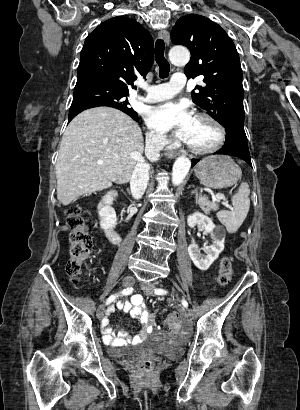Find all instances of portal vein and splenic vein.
<instances>
[{
    "label": "portal vein and splenic vein",
    "mask_w": 300,
    "mask_h": 410,
    "mask_svg": "<svg viewBox=\"0 0 300 410\" xmlns=\"http://www.w3.org/2000/svg\"><path fill=\"white\" fill-rule=\"evenodd\" d=\"M97 163H98V164H103V161H102V160H98ZM224 198H225V197H224L223 194L217 193V194L214 196L213 200H223ZM227 207L230 208L229 206H227Z\"/></svg>",
    "instance_id": "18ae733b"
}]
</instances>
